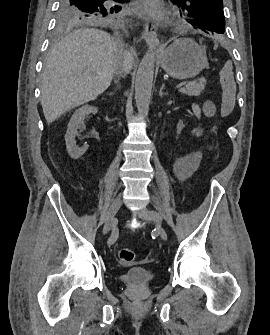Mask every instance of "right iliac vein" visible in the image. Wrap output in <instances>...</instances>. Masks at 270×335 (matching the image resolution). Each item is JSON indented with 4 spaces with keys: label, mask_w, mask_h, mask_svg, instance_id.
<instances>
[{
    "label": "right iliac vein",
    "mask_w": 270,
    "mask_h": 335,
    "mask_svg": "<svg viewBox=\"0 0 270 335\" xmlns=\"http://www.w3.org/2000/svg\"><path fill=\"white\" fill-rule=\"evenodd\" d=\"M120 207H121V198L116 197L108 212V216L102 230L103 234L108 233L113 227H115L116 225L115 215L119 211Z\"/></svg>",
    "instance_id": "1"
}]
</instances>
